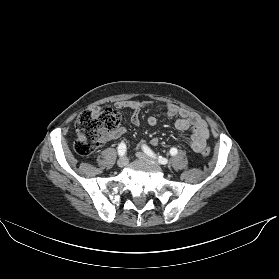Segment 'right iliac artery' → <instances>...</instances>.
<instances>
[{
	"mask_svg": "<svg viewBox=\"0 0 279 279\" xmlns=\"http://www.w3.org/2000/svg\"><path fill=\"white\" fill-rule=\"evenodd\" d=\"M126 150H127L126 144L124 142H121L118 146V155L120 157L124 156L126 153Z\"/></svg>",
	"mask_w": 279,
	"mask_h": 279,
	"instance_id": "1",
	"label": "right iliac artery"
}]
</instances>
